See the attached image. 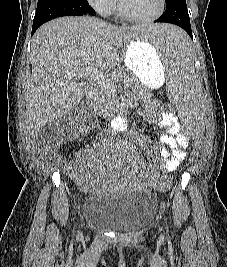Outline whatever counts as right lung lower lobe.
I'll return each instance as SVG.
<instances>
[{"label":"right lung lower lobe","instance_id":"1","mask_svg":"<svg viewBox=\"0 0 227 267\" xmlns=\"http://www.w3.org/2000/svg\"><path fill=\"white\" fill-rule=\"evenodd\" d=\"M95 15L87 0H38L32 35L45 22L62 16Z\"/></svg>","mask_w":227,"mask_h":267}]
</instances>
